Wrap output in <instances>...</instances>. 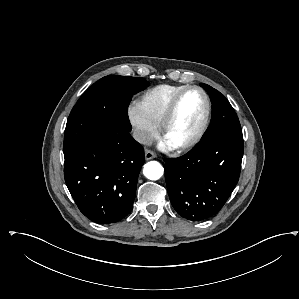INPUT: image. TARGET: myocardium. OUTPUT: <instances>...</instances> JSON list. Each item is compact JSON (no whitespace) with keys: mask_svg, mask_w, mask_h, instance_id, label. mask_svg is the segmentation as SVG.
I'll list each match as a JSON object with an SVG mask.
<instances>
[{"mask_svg":"<svg viewBox=\"0 0 299 299\" xmlns=\"http://www.w3.org/2000/svg\"><path fill=\"white\" fill-rule=\"evenodd\" d=\"M189 91H198L199 93H201V95L203 96V99H204L205 110H204L202 121H201L198 129L195 131V133L185 142H183L181 144H177V145H171V148H173L176 151H185V150H188V149L192 148L193 146H195L201 140V138L204 136V134L208 128L209 121H210L211 102H210L209 96L206 93V91L199 86H186L185 88L180 90L173 97L171 103L169 104V106L160 122L161 137L163 139H165L166 131L177 112L179 103H180L182 97Z\"/></svg>","mask_w":299,"mask_h":299,"instance_id":"obj_1","label":"myocardium"}]
</instances>
